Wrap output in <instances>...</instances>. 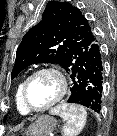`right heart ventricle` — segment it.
I'll return each instance as SVG.
<instances>
[{
    "mask_svg": "<svg viewBox=\"0 0 117 136\" xmlns=\"http://www.w3.org/2000/svg\"><path fill=\"white\" fill-rule=\"evenodd\" d=\"M23 83H24V80H21L18 83L16 90H15V98L14 99H15V106H16L17 111L22 115H27V114H29V112L24 107V105L22 103V99H21Z\"/></svg>",
    "mask_w": 117,
    "mask_h": 136,
    "instance_id": "obj_1",
    "label": "right heart ventricle"
}]
</instances>
